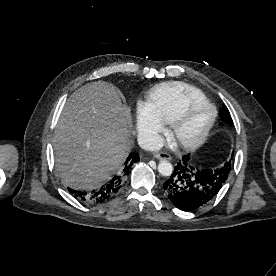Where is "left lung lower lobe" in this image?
<instances>
[{"label": "left lung lower lobe", "instance_id": "1", "mask_svg": "<svg viewBox=\"0 0 276 276\" xmlns=\"http://www.w3.org/2000/svg\"><path fill=\"white\" fill-rule=\"evenodd\" d=\"M190 157H182L163 189L173 204L182 210H194L210 202L225 184L229 169L206 170L192 166Z\"/></svg>", "mask_w": 276, "mask_h": 276}]
</instances>
